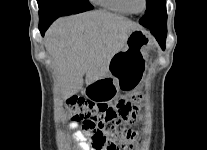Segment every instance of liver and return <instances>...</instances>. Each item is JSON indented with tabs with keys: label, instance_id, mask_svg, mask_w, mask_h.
<instances>
[{
	"label": "liver",
	"instance_id": "obj_1",
	"mask_svg": "<svg viewBox=\"0 0 207 150\" xmlns=\"http://www.w3.org/2000/svg\"><path fill=\"white\" fill-rule=\"evenodd\" d=\"M140 29L131 20L106 11L86 12L56 20L45 35L65 97L108 75L112 57L125 45L130 32Z\"/></svg>",
	"mask_w": 207,
	"mask_h": 150
}]
</instances>
